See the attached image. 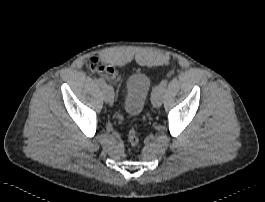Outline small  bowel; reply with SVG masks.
<instances>
[{
  "label": "small bowel",
  "instance_id": "small-bowel-1",
  "mask_svg": "<svg viewBox=\"0 0 265 202\" xmlns=\"http://www.w3.org/2000/svg\"><path fill=\"white\" fill-rule=\"evenodd\" d=\"M85 66H86V68H88L94 72H97L98 74L103 75L108 80H110L114 83L118 82L120 79L119 72L116 68H114L110 64L100 65L99 59L95 55H91L86 59ZM107 70H111L112 72L109 73Z\"/></svg>",
  "mask_w": 265,
  "mask_h": 202
}]
</instances>
